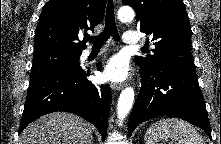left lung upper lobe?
I'll return each mask as SVG.
<instances>
[{"mask_svg":"<svg viewBox=\"0 0 221 144\" xmlns=\"http://www.w3.org/2000/svg\"><path fill=\"white\" fill-rule=\"evenodd\" d=\"M123 4L135 10L141 32L149 35L156 46L153 54L136 57V64L148 68L173 67L196 73L190 50L192 31L183 1L123 0Z\"/></svg>","mask_w":221,"mask_h":144,"instance_id":"left-lung-upper-lobe-1","label":"left lung upper lobe"}]
</instances>
